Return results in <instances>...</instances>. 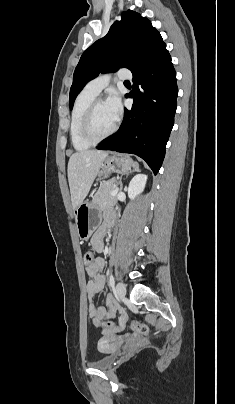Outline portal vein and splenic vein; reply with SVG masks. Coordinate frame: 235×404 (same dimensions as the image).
Instances as JSON below:
<instances>
[{
  "mask_svg": "<svg viewBox=\"0 0 235 404\" xmlns=\"http://www.w3.org/2000/svg\"><path fill=\"white\" fill-rule=\"evenodd\" d=\"M118 191H119V188H116L115 190H113V191L110 193V195H111V196H115V195L118 193Z\"/></svg>",
  "mask_w": 235,
  "mask_h": 404,
  "instance_id": "portal-vein-and-splenic-vein-1",
  "label": "portal vein and splenic vein"
}]
</instances>
